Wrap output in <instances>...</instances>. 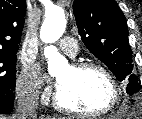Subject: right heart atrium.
I'll list each match as a JSON object with an SVG mask.
<instances>
[{"mask_svg":"<svg viewBox=\"0 0 142 119\" xmlns=\"http://www.w3.org/2000/svg\"><path fill=\"white\" fill-rule=\"evenodd\" d=\"M16 92L24 100L36 102L49 96L48 89H41L38 69L32 63H25L16 81Z\"/></svg>","mask_w":142,"mask_h":119,"instance_id":"d8ad5b80","label":"right heart atrium"}]
</instances>
